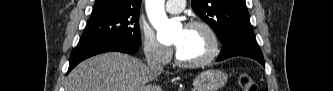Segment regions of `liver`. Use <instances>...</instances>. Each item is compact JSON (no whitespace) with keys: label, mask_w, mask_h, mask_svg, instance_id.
Returning a JSON list of instances; mask_svg holds the SVG:
<instances>
[{"label":"liver","mask_w":333,"mask_h":91,"mask_svg":"<svg viewBox=\"0 0 333 91\" xmlns=\"http://www.w3.org/2000/svg\"><path fill=\"white\" fill-rule=\"evenodd\" d=\"M159 74L127 54L105 53L77 65L66 79L65 91H162L155 83Z\"/></svg>","instance_id":"obj_1"}]
</instances>
